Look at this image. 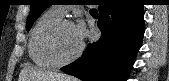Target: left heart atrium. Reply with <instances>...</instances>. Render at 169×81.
I'll return each instance as SVG.
<instances>
[{
    "mask_svg": "<svg viewBox=\"0 0 169 81\" xmlns=\"http://www.w3.org/2000/svg\"><path fill=\"white\" fill-rule=\"evenodd\" d=\"M74 30L76 33V37L79 40V42H82L85 37V26L82 22H79L74 26Z\"/></svg>",
    "mask_w": 169,
    "mask_h": 81,
    "instance_id": "obj_1",
    "label": "left heart atrium"
}]
</instances>
